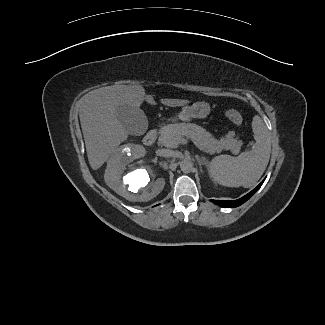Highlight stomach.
Listing matches in <instances>:
<instances>
[{
    "label": "stomach",
    "instance_id": "1",
    "mask_svg": "<svg viewBox=\"0 0 325 325\" xmlns=\"http://www.w3.org/2000/svg\"><path fill=\"white\" fill-rule=\"evenodd\" d=\"M210 113V105L206 102H197L192 106H185L178 114V119L188 121L193 118H205Z\"/></svg>",
    "mask_w": 325,
    "mask_h": 325
}]
</instances>
